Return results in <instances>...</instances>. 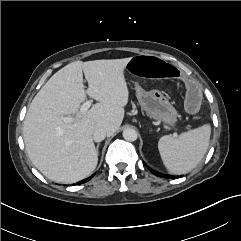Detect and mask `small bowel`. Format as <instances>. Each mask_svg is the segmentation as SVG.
Listing matches in <instances>:
<instances>
[{"mask_svg":"<svg viewBox=\"0 0 241 241\" xmlns=\"http://www.w3.org/2000/svg\"><path fill=\"white\" fill-rule=\"evenodd\" d=\"M138 56H141V55H138ZM151 56H155V55H151ZM158 57V56H157ZM160 58V57H159ZM163 60V59H162ZM164 62H166L165 60H163Z\"/></svg>","mask_w":241,"mask_h":241,"instance_id":"1","label":"small bowel"}]
</instances>
